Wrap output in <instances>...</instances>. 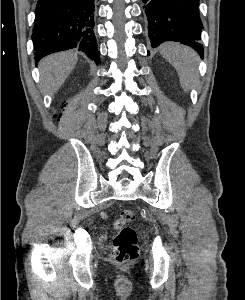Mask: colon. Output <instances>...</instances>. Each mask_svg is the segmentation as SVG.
Listing matches in <instances>:
<instances>
[{
	"label": "colon",
	"instance_id": "1",
	"mask_svg": "<svg viewBox=\"0 0 245 300\" xmlns=\"http://www.w3.org/2000/svg\"><path fill=\"white\" fill-rule=\"evenodd\" d=\"M134 220L135 212L132 209H125L114 222L118 233L114 239L112 257L119 264H128L139 255L137 234L132 227L128 226Z\"/></svg>",
	"mask_w": 245,
	"mask_h": 300
}]
</instances>
